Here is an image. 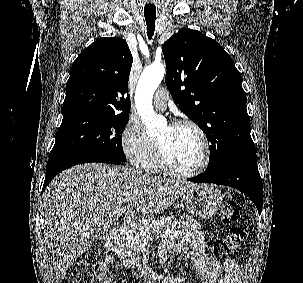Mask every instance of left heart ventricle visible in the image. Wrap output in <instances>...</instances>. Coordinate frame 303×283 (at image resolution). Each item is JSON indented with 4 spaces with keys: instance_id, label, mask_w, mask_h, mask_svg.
I'll return each instance as SVG.
<instances>
[{
    "instance_id": "1",
    "label": "left heart ventricle",
    "mask_w": 303,
    "mask_h": 283,
    "mask_svg": "<svg viewBox=\"0 0 303 283\" xmlns=\"http://www.w3.org/2000/svg\"><path fill=\"white\" fill-rule=\"evenodd\" d=\"M156 140L161 144L168 161L181 171H190L199 166L203 150L198 134L190 127L164 126Z\"/></svg>"
}]
</instances>
